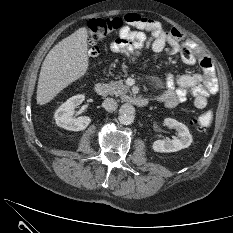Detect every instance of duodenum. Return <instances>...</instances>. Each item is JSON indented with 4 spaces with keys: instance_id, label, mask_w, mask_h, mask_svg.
Instances as JSON below:
<instances>
[{
    "instance_id": "410a0bca",
    "label": "duodenum",
    "mask_w": 233,
    "mask_h": 233,
    "mask_svg": "<svg viewBox=\"0 0 233 233\" xmlns=\"http://www.w3.org/2000/svg\"><path fill=\"white\" fill-rule=\"evenodd\" d=\"M95 92L99 95V96H106L108 94V88L106 86V84L99 82L95 85ZM124 101L127 103H130L134 106L137 107H145L148 105V100L145 98H141V97H136V96H132V95H126L124 96Z\"/></svg>"
}]
</instances>
